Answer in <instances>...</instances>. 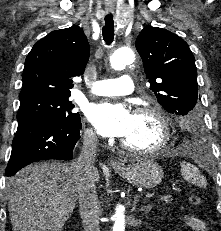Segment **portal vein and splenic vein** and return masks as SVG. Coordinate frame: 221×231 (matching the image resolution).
<instances>
[{
    "mask_svg": "<svg viewBox=\"0 0 221 231\" xmlns=\"http://www.w3.org/2000/svg\"><path fill=\"white\" fill-rule=\"evenodd\" d=\"M152 197H154V193H148V194H146V198H152Z\"/></svg>",
    "mask_w": 221,
    "mask_h": 231,
    "instance_id": "18ae733b",
    "label": "portal vein and splenic vein"
}]
</instances>
